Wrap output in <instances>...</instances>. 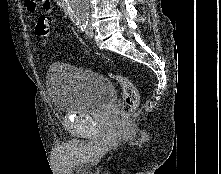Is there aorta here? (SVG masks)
<instances>
[{"mask_svg":"<svg viewBox=\"0 0 221 174\" xmlns=\"http://www.w3.org/2000/svg\"><path fill=\"white\" fill-rule=\"evenodd\" d=\"M63 11L73 20L85 21L89 15L90 0H61Z\"/></svg>","mask_w":221,"mask_h":174,"instance_id":"762f6f07","label":"aorta"}]
</instances>
